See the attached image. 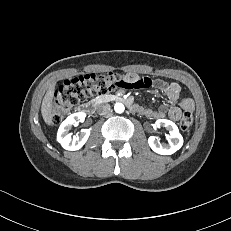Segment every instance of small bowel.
<instances>
[{
  "label": "small bowel",
  "mask_w": 231,
  "mask_h": 231,
  "mask_svg": "<svg viewBox=\"0 0 231 231\" xmlns=\"http://www.w3.org/2000/svg\"><path fill=\"white\" fill-rule=\"evenodd\" d=\"M140 77L137 74L129 73L125 75V79L128 81H135ZM155 87L163 91L168 99V101L173 104V106L167 108L161 105L155 109H147L139 107L138 112H141L147 116L159 119L166 115L170 119L177 121L181 118L182 114L185 112H192L194 110V102L191 98H183L180 100L181 87L175 82L166 83L162 80H156L154 83Z\"/></svg>",
  "instance_id": "c3829d8e"
}]
</instances>
